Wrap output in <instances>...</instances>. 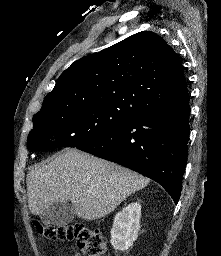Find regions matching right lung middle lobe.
I'll return each mask as SVG.
<instances>
[{
  "label": "right lung middle lobe",
  "instance_id": "obj_1",
  "mask_svg": "<svg viewBox=\"0 0 221 256\" xmlns=\"http://www.w3.org/2000/svg\"><path fill=\"white\" fill-rule=\"evenodd\" d=\"M136 116L130 109L107 104L81 105L35 115L27 145L31 150L78 147Z\"/></svg>",
  "mask_w": 221,
  "mask_h": 256
}]
</instances>
